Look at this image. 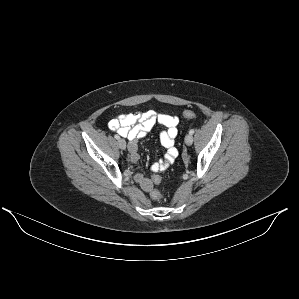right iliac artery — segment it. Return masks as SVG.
<instances>
[{
    "instance_id": "1",
    "label": "right iliac artery",
    "mask_w": 299,
    "mask_h": 299,
    "mask_svg": "<svg viewBox=\"0 0 299 299\" xmlns=\"http://www.w3.org/2000/svg\"><path fill=\"white\" fill-rule=\"evenodd\" d=\"M114 137H115V139H117V140L120 139L119 135H117V134L114 135Z\"/></svg>"
}]
</instances>
